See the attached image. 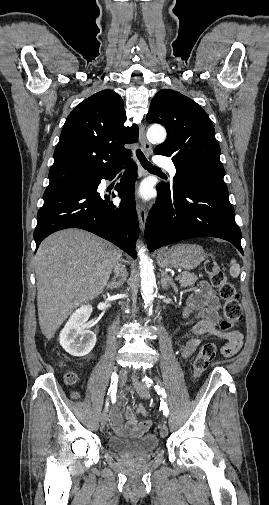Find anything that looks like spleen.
Wrapping results in <instances>:
<instances>
[{"mask_svg": "<svg viewBox=\"0 0 269 505\" xmlns=\"http://www.w3.org/2000/svg\"><path fill=\"white\" fill-rule=\"evenodd\" d=\"M230 275L233 277V278H237L240 274V266L239 264H237L236 260L235 259H232L231 262H230Z\"/></svg>", "mask_w": 269, "mask_h": 505, "instance_id": "obj_1", "label": "spleen"}]
</instances>
